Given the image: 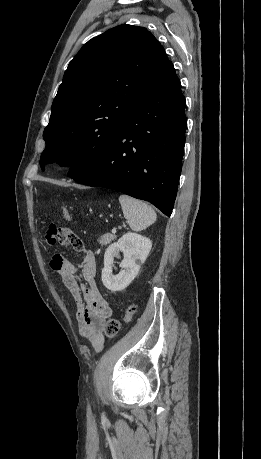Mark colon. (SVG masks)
Wrapping results in <instances>:
<instances>
[{
  "mask_svg": "<svg viewBox=\"0 0 261 459\" xmlns=\"http://www.w3.org/2000/svg\"><path fill=\"white\" fill-rule=\"evenodd\" d=\"M61 215L62 217L65 219V220H69L70 219V214L67 210L66 207H62L61 208ZM136 312V306L131 304L129 305L126 310H125V314L122 318L118 319V318H110L106 321L105 325H104V333L106 335L107 338L109 339H112L114 337H116L121 329V325L122 323H127L129 322L133 315L135 314Z\"/></svg>",
  "mask_w": 261,
  "mask_h": 459,
  "instance_id": "colon-1",
  "label": "colon"
}]
</instances>
